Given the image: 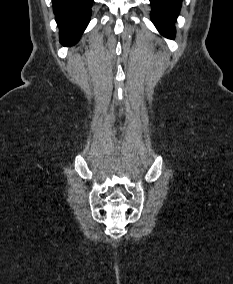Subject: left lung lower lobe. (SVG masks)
I'll return each instance as SVG.
<instances>
[{
	"label": "left lung lower lobe",
	"instance_id": "obj_1",
	"mask_svg": "<svg viewBox=\"0 0 233 284\" xmlns=\"http://www.w3.org/2000/svg\"><path fill=\"white\" fill-rule=\"evenodd\" d=\"M151 18L158 31L165 37L174 39V23L181 9V0H150Z\"/></svg>",
	"mask_w": 233,
	"mask_h": 284
}]
</instances>
